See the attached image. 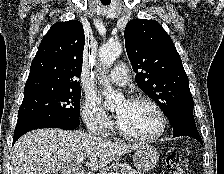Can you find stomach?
Segmentation results:
<instances>
[{
    "label": "stomach",
    "instance_id": "obj_1",
    "mask_svg": "<svg viewBox=\"0 0 224 174\" xmlns=\"http://www.w3.org/2000/svg\"><path fill=\"white\" fill-rule=\"evenodd\" d=\"M159 160V153L154 146L148 144H140L134 150L133 163L140 171H149L154 168Z\"/></svg>",
    "mask_w": 224,
    "mask_h": 174
}]
</instances>
